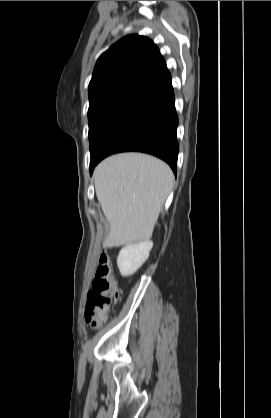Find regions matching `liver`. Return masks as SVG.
<instances>
[{
  "label": "liver",
  "instance_id": "6515ba94",
  "mask_svg": "<svg viewBox=\"0 0 271 418\" xmlns=\"http://www.w3.org/2000/svg\"><path fill=\"white\" fill-rule=\"evenodd\" d=\"M173 182L170 167L153 156L122 153L103 160L94 171V184L110 223L104 247L148 241Z\"/></svg>",
  "mask_w": 271,
  "mask_h": 418
}]
</instances>
